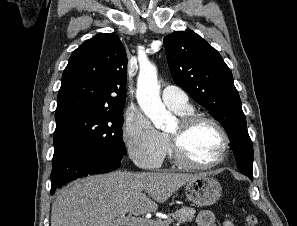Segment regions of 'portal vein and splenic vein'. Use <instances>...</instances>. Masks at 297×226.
Returning a JSON list of instances; mask_svg holds the SVG:
<instances>
[{
	"label": "portal vein and splenic vein",
	"instance_id": "obj_1",
	"mask_svg": "<svg viewBox=\"0 0 297 226\" xmlns=\"http://www.w3.org/2000/svg\"><path fill=\"white\" fill-rule=\"evenodd\" d=\"M154 221L142 217H135L132 215H120L116 219L117 224H126L128 226H150Z\"/></svg>",
	"mask_w": 297,
	"mask_h": 226
}]
</instances>
